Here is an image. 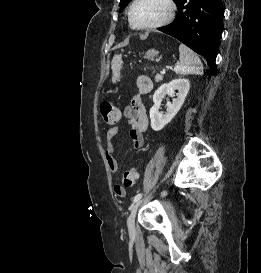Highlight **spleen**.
I'll return each mask as SVG.
<instances>
[{
    "label": "spleen",
    "mask_w": 261,
    "mask_h": 273,
    "mask_svg": "<svg viewBox=\"0 0 261 273\" xmlns=\"http://www.w3.org/2000/svg\"><path fill=\"white\" fill-rule=\"evenodd\" d=\"M180 63L174 67L179 75H203V64L198 55L184 44L179 46Z\"/></svg>",
    "instance_id": "obj_1"
}]
</instances>
